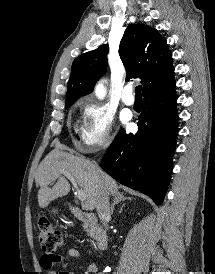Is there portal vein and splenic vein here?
<instances>
[{"label":"portal vein and splenic vein","mask_w":215,"mask_h":274,"mask_svg":"<svg viewBox=\"0 0 215 274\" xmlns=\"http://www.w3.org/2000/svg\"><path fill=\"white\" fill-rule=\"evenodd\" d=\"M61 174L65 175L71 181L73 187L76 189L77 198L86 205V193L78 188L75 178L65 170H61Z\"/></svg>","instance_id":"obj_1"}]
</instances>
